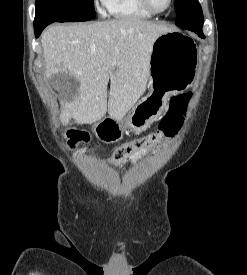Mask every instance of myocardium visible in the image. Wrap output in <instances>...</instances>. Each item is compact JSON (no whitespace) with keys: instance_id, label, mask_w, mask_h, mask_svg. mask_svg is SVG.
<instances>
[{"instance_id":"f54148a6","label":"myocardium","mask_w":247,"mask_h":275,"mask_svg":"<svg viewBox=\"0 0 247 275\" xmlns=\"http://www.w3.org/2000/svg\"><path fill=\"white\" fill-rule=\"evenodd\" d=\"M140 1H141V4L143 5V7L154 15L163 14V13L168 12L172 8V5H173V0H169L168 7L166 9L157 10L153 7L150 0H140Z\"/></svg>"}]
</instances>
